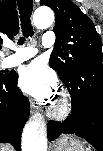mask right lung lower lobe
Returning a JSON list of instances; mask_svg holds the SVG:
<instances>
[{
    "instance_id": "1",
    "label": "right lung lower lobe",
    "mask_w": 103,
    "mask_h": 151,
    "mask_svg": "<svg viewBox=\"0 0 103 151\" xmlns=\"http://www.w3.org/2000/svg\"><path fill=\"white\" fill-rule=\"evenodd\" d=\"M17 73L0 79V142L11 143L20 151L21 133L28 120L30 103L17 88Z\"/></svg>"
}]
</instances>
